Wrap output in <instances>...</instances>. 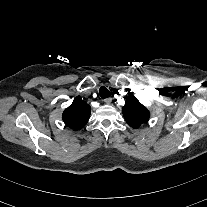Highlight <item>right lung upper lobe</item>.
Instances as JSON below:
<instances>
[{
  "mask_svg": "<svg viewBox=\"0 0 207 207\" xmlns=\"http://www.w3.org/2000/svg\"><path fill=\"white\" fill-rule=\"evenodd\" d=\"M90 106L80 98H76L73 103L63 112L64 123L72 129L80 130L87 123L90 116Z\"/></svg>",
  "mask_w": 207,
  "mask_h": 207,
  "instance_id": "cb5924a9",
  "label": "right lung upper lobe"
}]
</instances>
